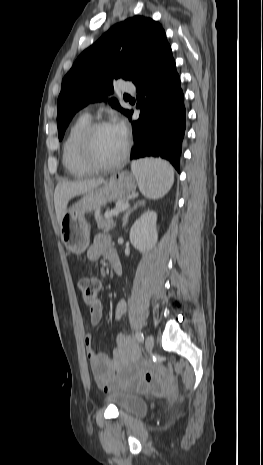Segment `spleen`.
I'll return each instance as SVG.
<instances>
[{
    "mask_svg": "<svg viewBox=\"0 0 263 465\" xmlns=\"http://www.w3.org/2000/svg\"><path fill=\"white\" fill-rule=\"evenodd\" d=\"M140 192L148 199H159L168 193L174 182L170 164L162 159L144 158L132 162Z\"/></svg>",
    "mask_w": 263,
    "mask_h": 465,
    "instance_id": "spleen-1",
    "label": "spleen"
}]
</instances>
